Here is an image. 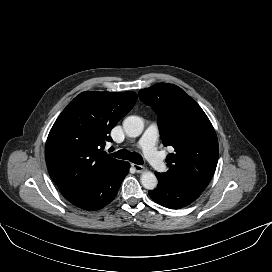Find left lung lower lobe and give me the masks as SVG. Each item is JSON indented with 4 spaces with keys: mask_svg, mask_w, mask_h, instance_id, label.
Listing matches in <instances>:
<instances>
[{
    "mask_svg": "<svg viewBox=\"0 0 272 272\" xmlns=\"http://www.w3.org/2000/svg\"><path fill=\"white\" fill-rule=\"evenodd\" d=\"M159 184L156 189L149 191L150 197L158 204L178 209L195 201L204 189L174 179L165 178L156 173Z\"/></svg>",
    "mask_w": 272,
    "mask_h": 272,
    "instance_id": "left-lung-lower-lobe-1",
    "label": "left lung lower lobe"
}]
</instances>
